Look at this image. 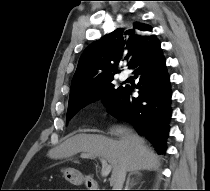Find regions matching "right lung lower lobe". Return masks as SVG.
I'll return each instance as SVG.
<instances>
[{
	"label": "right lung lower lobe",
	"instance_id": "obj_1",
	"mask_svg": "<svg viewBox=\"0 0 210 191\" xmlns=\"http://www.w3.org/2000/svg\"><path fill=\"white\" fill-rule=\"evenodd\" d=\"M129 69L139 78L138 97H133V86L126 85L116 99L107 106L114 117L132 124L160 154L166 151L171 111L169 75L160 42L155 38L143 50Z\"/></svg>",
	"mask_w": 210,
	"mask_h": 191
}]
</instances>
